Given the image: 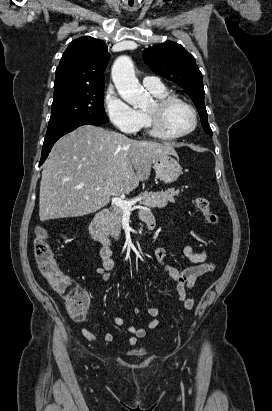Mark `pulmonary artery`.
Returning a JSON list of instances; mask_svg holds the SVG:
<instances>
[{"label":"pulmonary artery","mask_w":272,"mask_h":411,"mask_svg":"<svg viewBox=\"0 0 272 411\" xmlns=\"http://www.w3.org/2000/svg\"><path fill=\"white\" fill-rule=\"evenodd\" d=\"M143 84L148 89H161L163 84L160 82V79L155 76H147L143 79Z\"/></svg>","instance_id":"pulmonary-artery-1"}]
</instances>
